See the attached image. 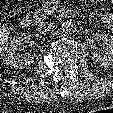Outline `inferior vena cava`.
<instances>
[{"mask_svg": "<svg viewBox=\"0 0 113 113\" xmlns=\"http://www.w3.org/2000/svg\"><path fill=\"white\" fill-rule=\"evenodd\" d=\"M55 27V24L53 22H44V23H41L39 28H38V32L40 33H47L51 30H53Z\"/></svg>", "mask_w": 113, "mask_h": 113, "instance_id": "inferior-vena-cava-1", "label": "inferior vena cava"}]
</instances>
